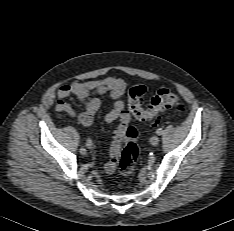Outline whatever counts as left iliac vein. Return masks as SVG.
Segmentation results:
<instances>
[{"instance_id":"obj_1","label":"left iliac vein","mask_w":234,"mask_h":231,"mask_svg":"<svg viewBox=\"0 0 234 231\" xmlns=\"http://www.w3.org/2000/svg\"><path fill=\"white\" fill-rule=\"evenodd\" d=\"M150 143L153 145V146H157L158 143H159V138L158 136L154 135L150 138Z\"/></svg>"}]
</instances>
